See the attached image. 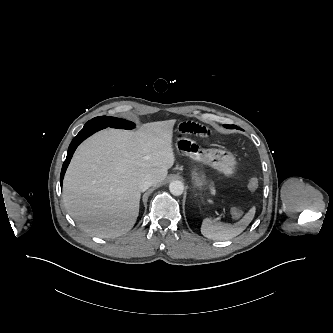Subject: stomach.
Here are the masks:
<instances>
[{
  "label": "stomach",
  "instance_id": "1",
  "mask_svg": "<svg viewBox=\"0 0 333 333\" xmlns=\"http://www.w3.org/2000/svg\"><path fill=\"white\" fill-rule=\"evenodd\" d=\"M176 147L191 158L204 162L227 177H230L235 172L236 160L231 152L221 149L205 150L188 138L177 139ZM195 185L201 189L204 182L200 178H196Z\"/></svg>",
  "mask_w": 333,
  "mask_h": 333
}]
</instances>
